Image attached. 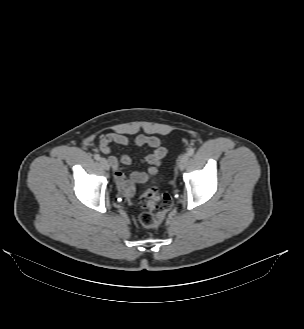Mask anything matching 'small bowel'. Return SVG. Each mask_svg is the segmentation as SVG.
<instances>
[{"mask_svg":"<svg viewBox=\"0 0 304 329\" xmlns=\"http://www.w3.org/2000/svg\"><path fill=\"white\" fill-rule=\"evenodd\" d=\"M97 144L99 151L106 155L107 161L114 171L118 187L127 197L134 194L136 183H144L156 174L161 160L167 153L166 147L162 145L158 137L144 134L137 135L134 139H130L127 135L122 133H107L100 136ZM111 144L120 146L133 145L135 147L148 146L152 148L153 152L141 160L142 163H147L149 165L147 172H126L125 169L133 163L132 158L127 154L117 158L115 155L111 154Z\"/></svg>","mask_w":304,"mask_h":329,"instance_id":"c3829d8e","label":"small bowel"}]
</instances>
